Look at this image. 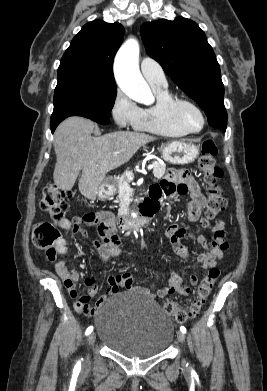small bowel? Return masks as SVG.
I'll list each match as a JSON object with an SVG mask.
<instances>
[{"label": "small bowel", "instance_id": "obj_1", "mask_svg": "<svg viewBox=\"0 0 267 391\" xmlns=\"http://www.w3.org/2000/svg\"><path fill=\"white\" fill-rule=\"evenodd\" d=\"M186 194L190 197L186 203L187 218L190 222H195L201 217L202 211L206 205V199L200 191L196 181L186 170L169 169L165 177L158 184H155L150 188V202L158 208L162 199ZM96 222L101 223L99 234L102 241L98 245L100 258L103 261L108 262L120 257L122 248L119 240L114 234L115 217L113 213L108 210H103L97 214L88 213L84 216H76L73 219L62 218L57 221V226L64 231L86 236L87 233L84 226ZM187 231L188 229L185 227L171 224L167 227L165 232L172 241L178 243L176 254L184 260L188 259L190 255L188 250L183 245L179 244V242L187 235ZM197 242L203 249V253L197 258L200 266L205 270L215 268L217 261L222 259L224 251L229 247L226 240L224 222L219 221L213 227V238L211 241H208L204 236H199ZM55 250L61 256L55 264L56 273L64 282L71 296L77 299L76 309L88 315L93 314L97 307L106 300L107 296L117 292L119 287H124L129 291L139 292L150 299L164 298L173 293H178L180 295H189L191 293V288L186 285L183 278L177 272H173L169 278L168 284L158 290L133 286L131 275L129 273H123L109 277L108 295L102 296L96 305H92L91 298L98 292L97 278H85L84 283L87 287L88 294L79 296L76 285L81 278V275L78 271L70 269L63 258L68 251L65 238H60L56 242ZM197 282L198 277L192 274L190 277L191 285H196Z\"/></svg>", "mask_w": 267, "mask_h": 391}]
</instances>
